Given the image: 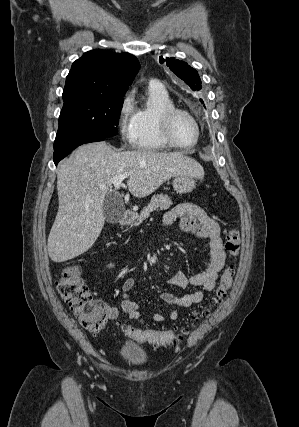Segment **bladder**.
Wrapping results in <instances>:
<instances>
[{"label":"bladder","mask_w":299,"mask_h":427,"mask_svg":"<svg viewBox=\"0 0 299 427\" xmlns=\"http://www.w3.org/2000/svg\"><path fill=\"white\" fill-rule=\"evenodd\" d=\"M121 357L132 366L144 364L148 355L147 352L134 342L124 341L120 347Z\"/></svg>","instance_id":"obj_1"}]
</instances>
